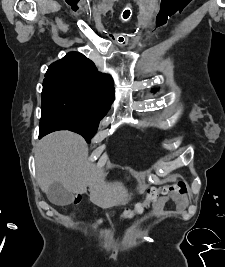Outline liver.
<instances>
[{
  "label": "liver",
  "instance_id": "liver-1",
  "mask_svg": "<svg viewBox=\"0 0 225 267\" xmlns=\"http://www.w3.org/2000/svg\"><path fill=\"white\" fill-rule=\"evenodd\" d=\"M85 140L70 131L53 132L41 139L35 150V166L43 192L53 182H60L72 194H84L101 207H111L122 199L118 188L104 182L102 172L87 160Z\"/></svg>",
  "mask_w": 225,
  "mask_h": 267
}]
</instances>
